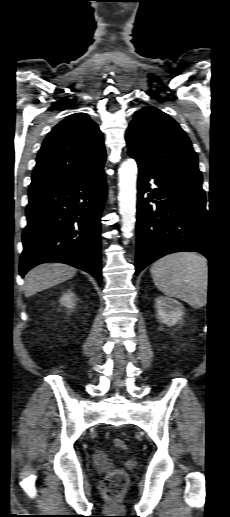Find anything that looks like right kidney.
<instances>
[{
    "mask_svg": "<svg viewBox=\"0 0 230 517\" xmlns=\"http://www.w3.org/2000/svg\"><path fill=\"white\" fill-rule=\"evenodd\" d=\"M60 302L67 308H73L75 306L74 294L71 292L64 293L60 299Z\"/></svg>",
    "mask_w": 230,
    "mask_h": 517,
    "instance_id": "right-kidney-1",
    "label": "right kidney"
}]
</instances>
